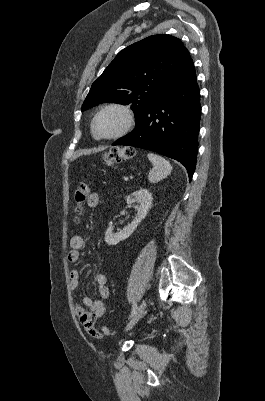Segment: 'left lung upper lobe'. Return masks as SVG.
Masks as SVG:
<instances>
[{
	"label": "left lung upper lobe",
	"instance_id": "1",
	"mask_svg": "<svg viewBox=\"0 0 265 401\" xmlns=\"http://www.w3.org/2000/svg\"><path fill=\"white\" fill-rule=\"evenodd\" d=\"M190 60L176 37L159 34L136 42L119 52L92 84L82 111L105 102L131 103L138 120Z\"/></svg>",
	"mask_w": 265,
	"mask_h": 401
}]
</instances>
